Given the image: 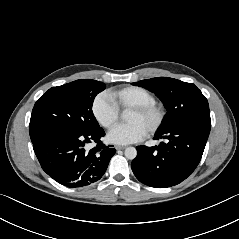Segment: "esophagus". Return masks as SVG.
Returning <instances> with one entry per match:
<instances>
[{"label": "esophagus", "mask_w": 239, "mask_h": 239, "mask_svg": "<svg viewBox=\"0 0 239 239\" xmlns=\"http://www.w3.org/2000/svg\"><path fill=\"white\" fill-rule=\"evenodd\" d=\"M115 148H116V150H123V149H125L126 147H125V146H119V145H117V146H115Z\"/></svg>", "instance_id": "1"}]
</instances>
